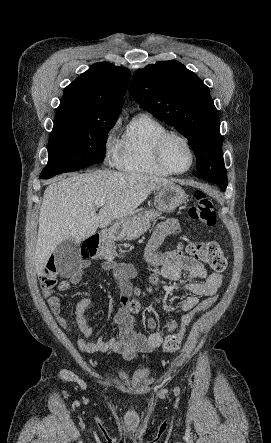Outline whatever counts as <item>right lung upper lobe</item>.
I'll list each match as a JSON object with an SVG mask.
<instances>
[{
  "mask_svg": "<svg viewBox=\"0 0 271 443\" xmlns=\"http://www.w3.org/2000/svg\"><path fill=\"white\" fill-rule=\"evenodd\" d=\"M129 80L126 68L94 64L64 89L59 107H70L86 117L118 116Z\"/></svg>",
  "mask_w": 271,
  "mask_h": 443,
  "instance_id": "obj_1",
  "label": "right lung upper lobe"
}]
</instances>
